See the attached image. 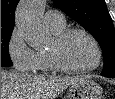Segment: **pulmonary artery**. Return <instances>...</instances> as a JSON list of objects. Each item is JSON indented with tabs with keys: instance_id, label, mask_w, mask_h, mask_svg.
<instances>
[{
	"instance_id": "obj_1",
	"label": "pulmonary artery",
	"mask_w": 115,
	"mask_h": 99,
	"mask_svg": "<svg viewBox=\"0 0 115 99\" xmlns=\"http://www.w3.org/2000/svg\"><path fill=\"white\" fill-rule=\"evenodd\" d=\"M44 19L48 26H62L65 24V17L63 13L56 10L47 11Z\"/></svg>"
}]
</instances>
